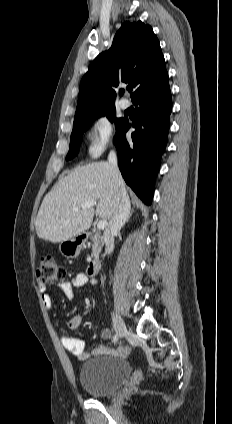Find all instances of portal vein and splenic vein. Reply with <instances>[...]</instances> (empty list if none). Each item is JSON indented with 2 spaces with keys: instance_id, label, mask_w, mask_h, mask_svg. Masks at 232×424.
Returning a JSON list of instances; mask_svg holds the SVG:
<instances>
[{
  "instance_id": "18ae733b",
  "label": "portal vein and splenic vein",
  "mask_w": 232,
  "mask_h": 424,
  "mask_svg": "<svg viewBox=\"0 0 232 424\" xmlns=\"http://www.w3.org/2000/svg\"><path fill=\"white\" fill-rule=\"evenodd\" d=\"M97 204V201L96 200H91V201H87V202H85V203H83L80 207H74L73 208V210L74 211H78L79 209H85V208H90V207H93L94 205H96ZM107 221L106 220H100L98 223H97V228L98 229H104V228H106V226H107Z\"/></svg>"
}]
</instances>
